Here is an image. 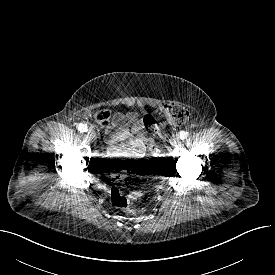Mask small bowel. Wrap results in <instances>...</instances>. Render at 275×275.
Returning a JSON list of instances; mask_svg holds the SVG:
<instances>
[{"instance_id": "c3829d8e", "label": "small bowel", "mask_w": 275, "mask_h": 275, "mask_svg": "<svg viewBox=\"0 0 275 275\" xmlns=\"http://www.w3.org/2000/svg\"><path fill=\"white\" fill-rule=\"evenodd\" d=\"M147 117L150 116L142 118L135 112H118L114 115L111 125L105 132L110 157L140 156L143 152Z\"/></svg>"}]
</instances>
